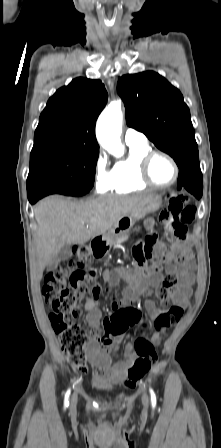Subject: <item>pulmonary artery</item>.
<instances>
[{
    "mask_svg": "<svg viewBox=\"0 0 221 448\" xmlns=\"http://www.w3.org/2000/svg\"><path fill=\"white\" fill-rule=\"evenodd\" d=\"M124 141L127 145H141L147 143V137L134 128H127L124 134Z\"/></svg>",
    "mask_w": 221,
    "mask_h": 448,
    "instance_id": "obj_1",
    "label": "pulmonary artery"
}]
</instances>
